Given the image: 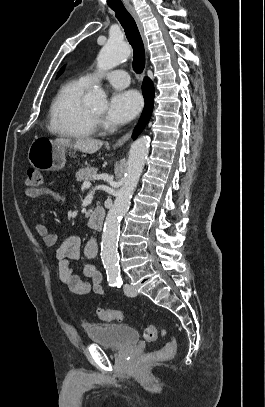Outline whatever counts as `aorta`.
I'll use <instances>...</instances> for the list:
<instances>
[{
	"label": "aorta",
	"instance_id": "1",
	"mask_svg": "<svg viewBox=\"0 0 265 407\" xmlns=\"http://www.w3.org/2000/svg\"><path fill=\"white\" fill-rule=\"evenodd\" d=\"M130 47L123 39H109L100 50L97 57V68L100 71L109 70L124 62L130 55ZM88 106H105L107 103L104 91L95 85L84 97ZM150 139L142 136L131 145L124 183L116 195L113 206L109 210L102 233L101 259L108 276L119 273L118 265V237L120 219L128 211L130 199L137 187L147 155L149 153Z\"/></svg>",
	"mask_w": 265,
	"mask_h": 407
}]
</instances>
